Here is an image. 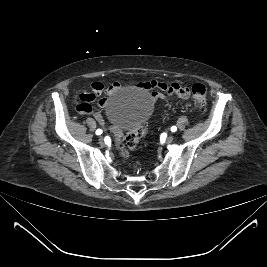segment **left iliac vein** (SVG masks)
I'll use <instances>...</instances> for the list:
<instances>
[{"label":"left iliac vein","mask_w":267,"mask_h":267,"mask_svg":"<svg viewBox=\"0 0 267 267\" xmlns=\"http://www.w3.org/2000/svg\"><path fill=\"white\" fill-rule=\"evenodd\" d=\"M173 140H174V136L173 135H170V136H168L167 138H166V144H170V143H172L173 142Z\"/></svg>","instance_id":"obj_1"}]
</instances>
